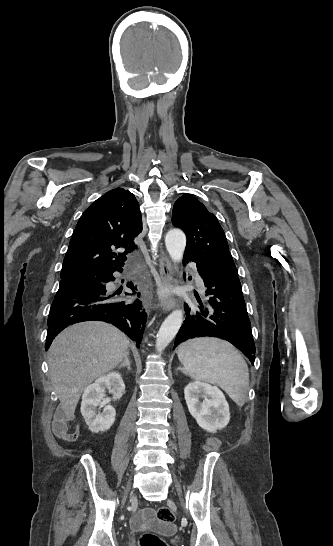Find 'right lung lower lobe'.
Wrapping results in <instances>:
<instances>
[{"label":"right lung lower lobe","mask_w":333,"mask_h":546,"mask_svg":"<svg viewBox=\"0 0 333 546\" xmlns=\"http://www.w3.org/2000/svg\"><path fill=\"white\" fill-rule=\"evenodd\" d=\"M117 271L121 272L122 269ZM113 272L100 275V278L94 276L87 281L59 288L48 316L46 350L64 328L90 320L115 325L136 341L137 347L140 346L147 314L139 299L129 303L107 293L105 284L114 281ZM127 287L133 294L125 293L126 295L136 294L137 288L131 282L127 283ZM139 295L140 293H137V296Z\"/></svg>","instance_id":"obj_1"}]
</instances>
